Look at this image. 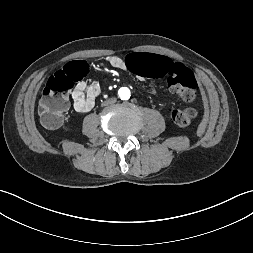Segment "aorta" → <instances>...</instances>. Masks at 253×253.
<instances>
[{
    "instance_id": "762f6f07",
    "label": "aorta",
    "mask_w": 253,
    "mask_h": 253,
    "mask_svg": "<svg viewBox=\"0 0 253 253\" xmlns=\"http://www.w3.org/2000/svg\"><path fill=\"white\" fill-rule=\"evenodd\" d=\"M119 96L121 99L126 100L130 97V90L126 87H123L119 90Z\"/></svg>"
}]
</instances>
